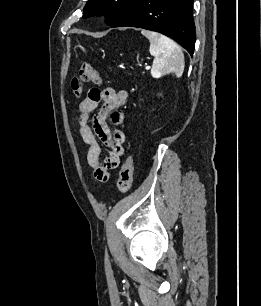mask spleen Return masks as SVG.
Wrapping results in <instances>:
<instances>
[{
  "mask_svg": "<svg viewBox=\"0 0 261 306\" xmlns=\"http://www.w3.org/2000/svg\"><path fill=\"white\" fill-rule=\"evenodd\" d=\"M142 35L150 41V54L154 56L151 75L159 78L174 73L181 77L184 71V54L181 48L170 38L160 33L142 30Z\"/></svg>",
  "mask_w": 261,
  "mask_h": 306,
  "instance_id": "3e777b00",
  "label": "spleen"
}]
</instances>
